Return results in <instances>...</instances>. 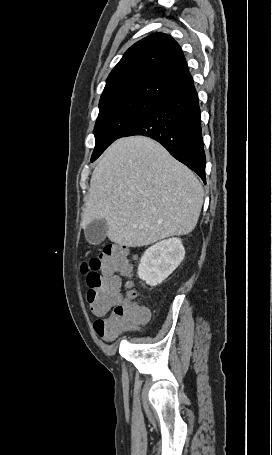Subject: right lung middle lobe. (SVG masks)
Masks as SVG:
<instances>
[{
	"instance_id": "right-lung-middle-lobe-1",
	"label": "right lung middle lobe",
	"mask_w": 272,
	"mask_h": 455,
	"mask_svg": "<svg viewBox=\"0 0 272 455\" xmlns=\"http://www.w3.org/2000/svg\"><path fill=\"white\" fill-rule=\"evenodd\" d=\"M163 102L150 97H132L99 106L91 162L95 161L125 130L152 113Z\"/></svg>"
}]
</instances>
